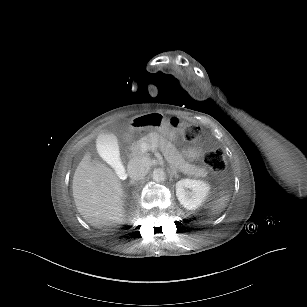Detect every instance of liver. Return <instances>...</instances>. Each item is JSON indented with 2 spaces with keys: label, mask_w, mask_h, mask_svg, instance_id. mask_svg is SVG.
Here are the masks:
<instances>
[{
  "label": "liver",
  "mask_w": 307,
  "mask_h": 307,
  "mask_svg": "<svg viewBox=\"0 0 307 307\" xmlns=\"http://www.w3.org/2000/svg\"><path fill=\"white\" fill-rule=\"evenodd\" d=\"M76 208L91 226L124 222L125 194L118 175L106 164L85 155L73 176Z\"/></svg>",
  "instance_id": "obj_1"
}]
</instances>
